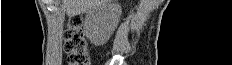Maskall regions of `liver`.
<instances>
[{"label": "liver", "instance_id": "6515ba94", "mask_svg": "<svg viewBox=\"0 0 232 65\" xmlns=\"http://www.w3.org/2000/svg\"><path fill=\"white\" fill-rule=\"evenodd\" d=\"M104 1L114 2V0H62L63 8L69 16L84 14Z\"/></svg>", "mask_w": 232, "mask_h": 65}]
</instances>
